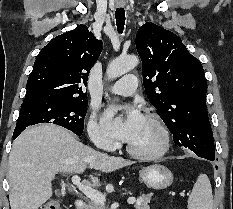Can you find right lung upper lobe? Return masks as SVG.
<instances>
[{
	"label": "right lung upper lobe",
	"instance_id": "right-lung-upper-lobe-1",
	"mask_svg": "<svg viewBox=\"0 0 233 209\" xmlns=\"http://www.w3.org/2000/svg\"><path fill=\"white\" fill-rule=\"evenodd\" d=\"M102 48L85 25L53 38L35 60L22 104L87 99L84 86Z\"/></svg>",
	"mask_w": 233,
	"mask_h": 209
}]
</instances>
